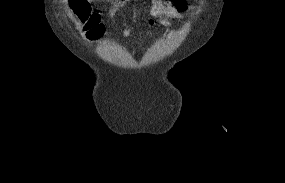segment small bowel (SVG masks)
<instances>
[{
	"mask_svg": "<svg viewBox=\"0 0 285 183\" xmlns=\"http://www.w3.org/2000/svg\"><path fill=\"white\" fill-rule=\"evenodd\" d=\"M132 1V0H115V2L112 4L110 10H109V16L111 18H114L117 13L120 11L122 6L125 2ZM187 8L186 0L183 3V9H178L173 4H164L160 2L159 0H152L150 12H149V21L150 22H158L162 24L165 27H171L172 24L170 22L171 19H184V11ZM134 31L133 27H126L122 31L123 37H129Z\"/></svg>",
	"mask_w": 285,
	"mask_h": 183,
	"instance_id": "c3829d8e",
	"label": "small bowel"
}]
</instances>
